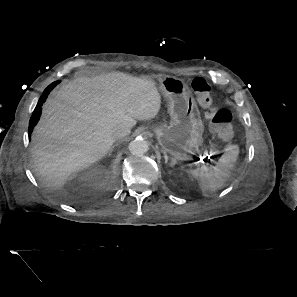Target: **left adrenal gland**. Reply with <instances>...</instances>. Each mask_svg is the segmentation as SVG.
<instances>
[{"label": "left adrenal gland", "mask_w": 297, "mask_h": 297, "mask_svg": "<svg viewBox=\"0 0 297 297\" xmlns=\"http://www.w3.org/2000/svg\"><path fill=\"white\" fill-rule=\"evenodd\" d=\"M164 158H165V163H167L168 162V157H167V155H166V153H164ZM175 165V161H171V163H170V166H174Z\"/></svg>", "instance_id": "obj_1"}]
</instances>
